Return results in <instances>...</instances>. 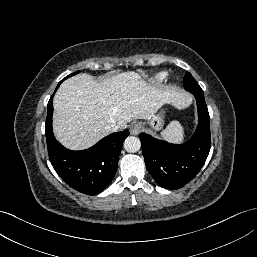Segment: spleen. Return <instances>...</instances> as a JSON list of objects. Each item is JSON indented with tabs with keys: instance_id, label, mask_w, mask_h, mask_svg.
<instances>
[{
	"instance_id": "obj_1",
	"label": "spleen",
	"mask_w": 257,
	"mask_h": 257,
	"mask_svg": "<svg viewBox=\"0 0 257 257\" xmlns=\"http://www.w3.org/2000/svg\"><path fill=\"white\" fill-rule=\"evenodd\" d=\"M161 136L169 142L180 143L184 139V129L178 121H172L167 128L161 132Z\"/></svg>"
}]
</instances>
